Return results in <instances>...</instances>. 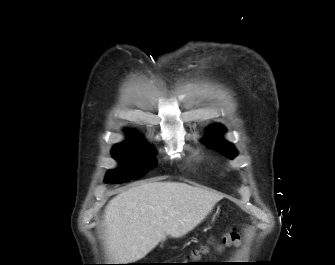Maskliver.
Segmentation results:
<instances>
[{
	"label": "liver",
	"mask_w": 335,
	"mask_h": 265,
	"mask_svg": "<svg viewBox=\"0 0 335 265\" xmlns=\"http://www.w3.org/2000/svg\"><path fill=\"white\" fill-rule=\"evenodd\" d=\"M222 196L180 182H144L106 206V244L115 262L144 258L166 236L180 238L211 212Z\"/></svg>",
	"instance_id": "obj_1"
}]
</instances>
